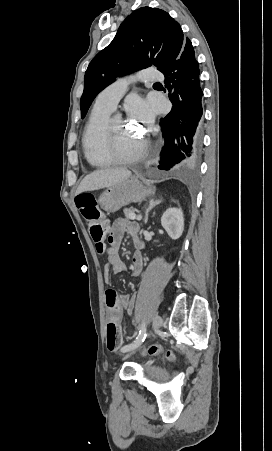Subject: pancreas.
<instances>
[{
    "label": "pancreas",
    "mask_w": 272,
    "mask_h": 451,
    "mask_svg": "<svg viewBox=\"0 0 272 451\" xmlns=\"http://www.w3.org/2000/svg\"><path fill=\"white\" fill-rule=\"evenodd\" d=\"M134 210L135 208H125V210H123L126 218H128V220H130V214H134Z\"/></svg>",
    "instance_id": "cf45deb5"
}]
</instances>
